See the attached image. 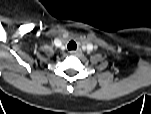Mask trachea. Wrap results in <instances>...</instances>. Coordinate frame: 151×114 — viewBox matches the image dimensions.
<instances>
[{"label": "trachea", "instance_id": "obj_1", "mask_svg": "<svg viewBox=\"0 0 151 114\" xmlns=\"http://www.w3.org/2000/svg\"><path fill=\"white\" fill-rule=\"evenodd\" d=\"M68 50H76L77 45L74 41H70L67 45Z\"/></svg>", "mask_w": 151, "mask_h": 114}]
</instances>
